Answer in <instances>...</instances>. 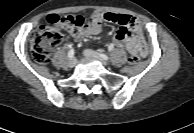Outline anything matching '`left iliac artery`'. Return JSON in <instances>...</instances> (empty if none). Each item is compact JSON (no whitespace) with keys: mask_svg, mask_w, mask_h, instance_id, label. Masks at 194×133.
I'll return each instance as SVG.
<instances>
[{"mask_svg":"<svg viewBox=\"0 0 194 133\" xmlns=\"http://www.w3.org/2000/svg\"><path fill=\"white\" fill-rule=\"evenodd\" d=\"M98 55L104 59V60H109V57L106 55V54H103V53H98Z\"/></svg>","mask_w":194,"mask_h":133,"instance_id":"obj_1","label":"left iliac artery"}]
</instances>
